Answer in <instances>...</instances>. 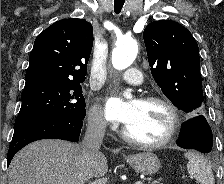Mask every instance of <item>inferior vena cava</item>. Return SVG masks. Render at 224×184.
<instances>
[{
  "label": "inferior vena cava",
  "instance_id": "1",
  "mask_svg": "<svg viewBox=\"0 0 224 184\" xmlns=\"http://www.w3.org/2000/svg\"><path fill=\"white\" fill-rule=\"evenodd\" d=\"M105 129L106 121L102 116L96 115L88 120L84 139L79 145L81 156L83 160L86 161L87 167L89 166L92 157L97 155L99 152Z\"/></svg>",
  "mask_w": 224,
  "mask_h": 184
}]
</instances>
